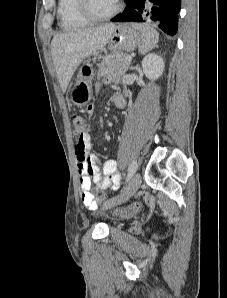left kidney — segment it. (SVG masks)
<instances>
[{"label": "left kidney", "mask_w": 227, "mask_h": 298, "mask_svg": "<svg viewBox=\"0 0 227 298\" xmlns=\"http://www.w3.org/2000/svg\"><path fill=\"white\" fill-rule=\"evenodd\" d=\"M142 69L147 78L156 80L163 74L165 63L159 55L151 53L142 60Z\"/></svg>", "instance_id": "obj_1"}]
</instances>
